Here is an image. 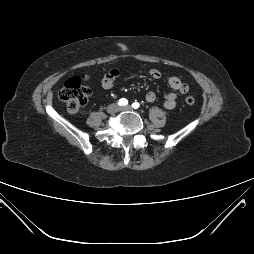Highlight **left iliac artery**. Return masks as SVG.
<instances>
[{"label": "left iliac artery", "mask_w": 254, "mask_h": 254, "mask_svg": "<svg viewBox=\"0 0 254 254\" xmlns=\"http://www.w3.org/2000/svg\"><path fill=\"white\" fill-rule=\"evenodd\" d=\"M132 107H133L134 109H138V108L140 107V104H139L138 102H134V103L132 104Z\"/></svg>", "instance_id": "1"}]
</instances>
